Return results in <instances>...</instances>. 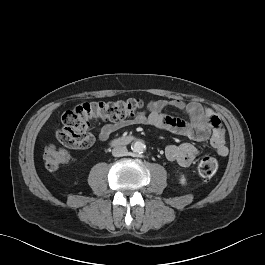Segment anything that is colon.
<instances>
[{"label": "colon", "mask_w": 265, "mask_h": 265, "mask_svg": "<svg viewBox=\"0 0 265 265\" xmlns=\"http://www.w3.org/2000/svg\"><path fill=\"white\" fill-rule=\"evenodd\" d=\"M144 103L140 99H128L109 102H91L77 105L64 112L62 125L56 131L57 139L64 145L83 146L91 138V124L97 119L119 122L133 118L142 112ZM213 127L219 128L220 122L213 118ZM45 166L49 171H57L70 158L67 150L47 145L43 152ZM204 177L214 175L218 170V160L213 154L202 156L198 165Z\"/></svg>", "instance_id": "5ec220e1"}]
</instances>
